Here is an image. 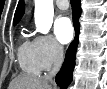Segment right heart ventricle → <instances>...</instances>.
<instances>
[{
  "instance_id": "e07e8e85",
  "label": "right heart ventricle",
  "mask_w": 107,
  "mask_h": 89,
  "mask_svg": "<svg viewBox=\"0 0 107 89\" xmlns=\"http://www.w3.org/2000/svg\"><path fill=\"white\" fill-rule=\"evenodd\" d=\"M17 57L23 72L29 75L40 74L42 68L38 61L34 40L22 37L18 47Z\"/></svg>"
}]
</instances>
